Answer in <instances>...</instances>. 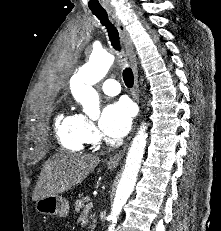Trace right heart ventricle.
<instances>
[{"label": "right heart ventricle", "instance_id": "e07e8e85", "mask_svg": "<svg viewBox=\"0 0 221 231\" xmlns=\"http://www.w3.org/2000/svg\"><path fill=\"white\" fill-rule=\"evenodd\" d=\"M56 129L57 138L62 147L72 151H80L84 148L86 140L82 115L73 112L60 114Z\"/></svg>", "mask_w": 221, "mask_h": 231}]
</instances>
